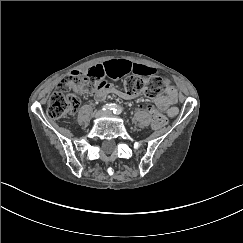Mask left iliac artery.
I'll use <instances>...</instances> for the list:
<instances>
[{
	"label": "left iliac artery",
	"instance_id": "1",
	"mask_svg": "<svg viewBox=\"0 0 243 243\" xmlns=\"http://www.w3.org/2000/svg\"><path fill=\"white\" fill-rule=\"evenodd\" d=\"M114 114L119 115L122 113V108L121 107H117V109L115 111H113Z\"/></svg>",
	"mask_w": 243,
	"mask_h": 243
}]
</instances>
